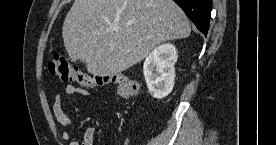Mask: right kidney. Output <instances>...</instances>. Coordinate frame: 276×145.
<instances>
[{"mask_svg": "<svg viewBox=\"0 0 276 145\" xmlns=\"http://www.w3.org/2000/svg\"><path fill=\"white\" fill-rule=\"evenodd\" d=\"M177 58L176 48L170 43L158 46L146 57L143 74L148 90L154 98L163 99L171 93Z\"/></svg>", "mask_w": 276, "mask_h": 145, "instance_id": "ca27d5eb", "label": "right kidney"}]
</instances>
